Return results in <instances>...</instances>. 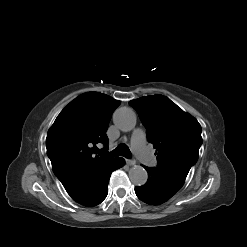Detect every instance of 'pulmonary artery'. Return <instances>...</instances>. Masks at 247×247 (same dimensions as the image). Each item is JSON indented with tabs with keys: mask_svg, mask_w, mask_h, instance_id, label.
<instances>
[{
	"mask_svg": "<svg viewBox=\"0 0 247 247\" xmlns=\"http://www.w3.org/2000/svg\"><path fill=\"white\" fill-rule=\"evenodd\" d=\"M146 134L145 132L138 128L133 132L132 135V147L135 154L141 158L147 165H156L155 157L150 153L145 144Z\"/></svg>",
	"mask_w": 247,
	"mask_h": 247,
	"instance_id": "e3ab8cb5",
	"label": "pulmonary artery"
}]
</instances>
